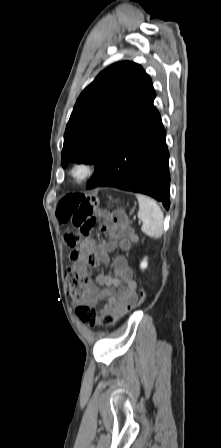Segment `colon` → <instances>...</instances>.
I'll list each match as a JSON object with an SVG mask.
<instances>
[{
    "label": "colon",
    "instance_id": "obj_1",
    "mask_svg": "<svg viewBox=\"0 0 221 448\" xmlns=\"http://www.w3.org/2000/svg\"><path fill=\"white\" fill-rule=\"evenodd\" d=\"M98 197L96 195H84L72 193L64 196L57 206V217L61 223H71L82 239L89 237L96 225L94 213L98 207ZM112 221L117 224H124V219L119 215H113ZM88 261V258H86ZM65 278L68 284V293L75 302H80L86 278L74 266H68L65 271ZM145 299V290H138L136 299L128 306V311H133L141 306ZM76 314L82 322L94 326L97 324L96 313L86 305L78 304ZM117 317L108 315L103 319L104 323H114Z\"/></svg>",
    "mask_w": 221,
    "mask_h": 448
}]
</instances>
